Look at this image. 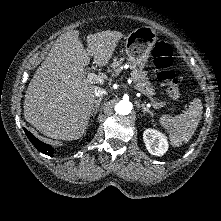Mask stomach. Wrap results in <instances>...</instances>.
<instances>
[{
	"label": "stomach",
	"instance_id": "stomach-1",
	"mask_svg": "<svg viewBox=\"0 0 221 221\" xmlns=\"http://www.w3.org/2000/svg\"><path fill=\"white\" fill-rule=\"evenodd\" d=\"M157 41L156 31L143 26L132 31L125 40V49L128 59L140 68L144 67Z\"/></svg>",
	"mask_w": 221,
	"mask_h": 221
}]
</instances>
